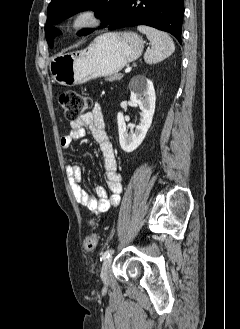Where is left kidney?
<instances>
[{"instance_id":"1","label":"left kidney","mask_w":240,"mask_h":329,"mask_svg":"<svg viewBox=\"0 0 240 329\" xmlns=\"http://www.w3.org/2000/svg\"><path fill=\"white\" fill-rule=\"evenodd\" d=\"M129 88L130 100L137 104L143 113L140 125L135 130L128 131L122 112L117 115L119 142L125 152H132L143 142L151 124L155 111L156 95L153 82L143 75L132 78Z\"/></svg>"}]
</instances>
